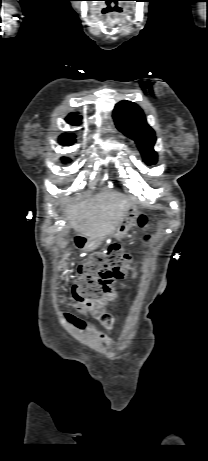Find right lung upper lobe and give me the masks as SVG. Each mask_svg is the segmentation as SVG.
I'll list each match as a JSON object with an SVG mask.
<instances>
[{"instance_id":"obj_1","label":"right lung upper lobe","mask_w":208,"mask_h":461,"mask_svg":"<svg viewBox=\"0 0 208 461\" xmlns=\"http://www.w3.org/2000/svg\"><path fill=\"white\" fill-rule=\"evenodd\" d=\"M81 117L75 113H70L66 118V121L72 125H79ZM63 137L74 139V136L68 133L62 135Z\"/></svg>"}]
</instances>
